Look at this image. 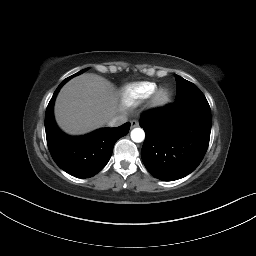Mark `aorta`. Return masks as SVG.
I'll return each instance as SVG.
<instances>
[{
	"mask_svg": "<svg viewBox=\"0 0 256 256\" xmlns=\"http://www.w3.org/2000/svg\"><path fill=\"white\" fill-rule=\"evenodd\" d=\"M131 139L136 143H140L145 139V132L142 128H134L131 131Z\"/></svg>",
	"mask_w": 256,
	"mask_h": 256,
	"instance_id": "1",
	"label": "aorta"
}]
</instances>
